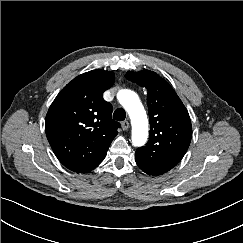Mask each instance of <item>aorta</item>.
I'll return each mask as SVG.
<instances>
[{
  "instance_id": "obj_1",
  "label": "aorta",
  "mask_w": 243,
  "mask_h": 243,
  "mask_svg": "<svg viewBox=\"0 0 243 243\" xmlns=\"http://www.w3.org/2000/svg\"><path fill=\"white\" fill-rule=\"evenodd\" d=\"M117 98L131 118L133 144L144 145L148 137V120L138 95L131 90L123 89L118 92Z\"/></svg>"
}]
</instances>
